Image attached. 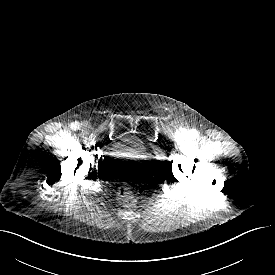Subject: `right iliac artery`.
<instances>
[{"label": "right iliac artery", "instance_id": "1", "mask_svg": "<svg viewBox=\"0 0 275 275\" xmlns=\"http://www.w3.org/2000/svg\"><path fill=\"white\" fill-rule=\"evenodd\" d=\"M78 128H79V123L78 122H74V123L71 124V129L76 130Z\"/></svg>", "mask_w": 275, "mask_h": 275}]
</instances>
